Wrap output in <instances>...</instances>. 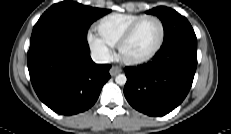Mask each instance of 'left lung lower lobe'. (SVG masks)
Wrapping results in <instances>:
<instances>
[{
  "label": "left lung lower lobe",
  "mask_w": 231,
  "mask_h": 134,
  "mask_svg": "<svg viewBox=\"0 0 231 134\" xmlns=\"http://www.w3.org/2000/svg\"><path fill=\"white\" fill-rule=\"evenodd\" d=\"M197 67L196 38L163 46L156 58L136 68H126L124 95L136 110L163 116L187 96Z\"/></svg>",
  "instance_id": "0a47b994"
}]
</instances>
